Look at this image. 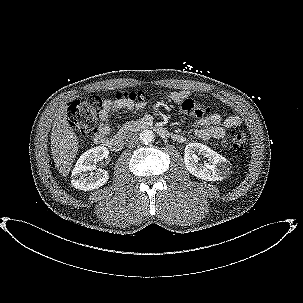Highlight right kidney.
Instances as JSON below:
<instances>
[{
    "mask_svg": "<svg viewBox=\"0 0 303 303\" xmlns=\"http://www.w3.org/2000/svg\"><path fill=\"white\" fill-rule=\"evenodd\" d=\"M109 151L104 146L94 147L84 152L77 160L75 167L72 171L71 184L76 189L89 191L103 186L109 179V174L106 170L96 169L94 163L106 158ZM88 171L91 173L88 174Z\"/></svg>",
    "mask_w": 303,
    "mask_h": 303,
    "instance_id": "obj_1",
    "label": "right kidney"
}]
</instances>
